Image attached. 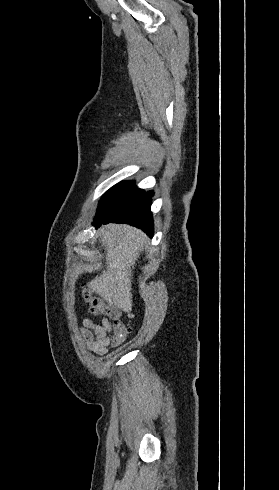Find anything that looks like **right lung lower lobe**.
I'll return each instance as SVG.
<instances>
[{"label":"right lung lower lobe","instance_id":"right-lung-lower-lobe-1","mask_svg":"<svg viewBox=\"0 0 279 490\" xmlns=\"http://www.w3.org/2000/svg\"><path fill=\"white\" fill-rule=\"evenodd\" d=\"M151 196L153 192H145L139 188H131L116 196L105 214L95 219L96 228L107 223H128L153 235V219L151 213Z\"/></svg>","mask_w":279,"mask_h":490}]
</instances>
